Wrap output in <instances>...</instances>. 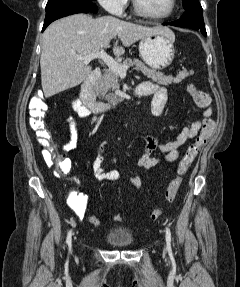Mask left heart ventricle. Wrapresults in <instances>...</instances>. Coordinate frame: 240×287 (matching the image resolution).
Masks as SVG:
<instances>
[{"instance_id":"obj_1","label":"left heart ventricle","mask_w":240,"mask_h":287,"mask_svg":"<svg viewBox=\"0 0 240 287\" xmlns=\"http://www.w3.org/2000/svg\"><path fill=\"white\" fill-rule=\"evenodd\" d=\"M139 3L152 14H163L170 7V0H139Z\"/></svg>"}]
</instances>
